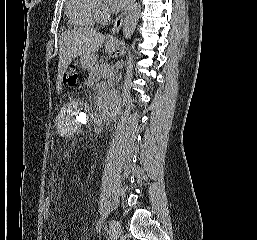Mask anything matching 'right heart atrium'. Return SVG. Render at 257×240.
I'll list each match as a JSON object with an SVG mask.
<instances>
[{"label": "right heart atrium", "mask_w": 257, "mask_h": 240, "mask_svg": "<svg viewBox=\"0 0 257 240\" xmlns=\"http://www.w3.org/2000/svg\"><path fill=\"white\" fill-rule=\"evenodd\" d=\"M98 15L102 20H106L109 16L108 8L104 4L98 6Z\"/></svg>", "instance_id": "right-heart-atrium-1"}]
</instances>
